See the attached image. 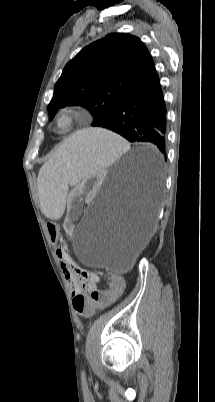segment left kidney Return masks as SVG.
Masks as SVG:
<instances>
[{
	"label": "left kidney",
	"instance_id": "left-kidney-1",
	"mask_svg": "<svg viewBox=\"0 0 215 402\" xmlns=\"http://www.w3.org/2000/svg\"><path fill=\"white\" fill-rule=\"evenodd\" d=\"M104 175V170L99 169L95 175H86L85 178L82 179V184L75 185L68 198V203L71 205L69 210L71 216L79 215L81 200H93L94 193H98V184H100ZM63 227L64 229H75L77 222L75 220H64ZM69 233H72V230H69Z\"/></svg>",
	"mask_w": 215,
	"mask_h": 402
}]
</instances>
